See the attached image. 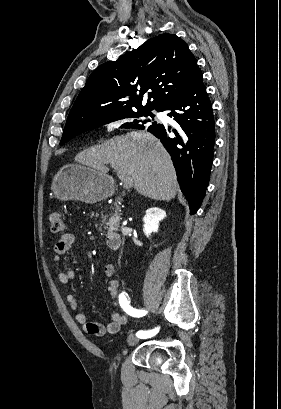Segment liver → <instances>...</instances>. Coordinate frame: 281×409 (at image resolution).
<instances>
[{
    "label": "liver",
    "instance_id": "liver-1",
    "mask_svg": "<svg viewBox=\"0 0 281 409\" xmlns=\"http://www.w3.org/2000/svg\"><path fill=\"white\" fill-rule=\"evenodd\" d=\"M75 160L100 172H108L107 162L133 178V188L155 200H171L178 190L176 172L159 138L146 130H132L113 136L99 146L82 150Z\"/></svg>",
    "mask_w": 281,
    "mask_h": 409
}]
</instances>
